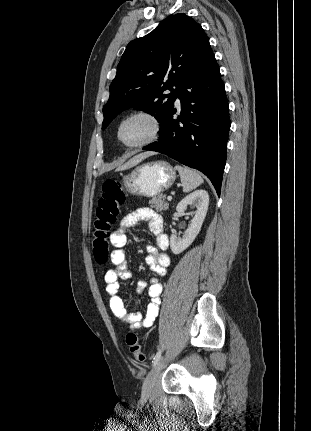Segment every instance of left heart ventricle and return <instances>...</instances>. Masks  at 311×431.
I'll return each mask as SVG.
<instances>
[{"label":"left heart ventricle","instance_id":"1","mask_svg":"<svg viewBox=\"0 0 311 431\" xmlns=\"http://www.w3.org/2000/svg\"><path fill=\"white\" fill-rule=\"evenodd\" d=\"M154 131L153 122L145 116H131L124 119L118 129L120 139L127 144L146 140Z\"/></svg>","mask_w":311,"mask_h":431}]
</instances>
